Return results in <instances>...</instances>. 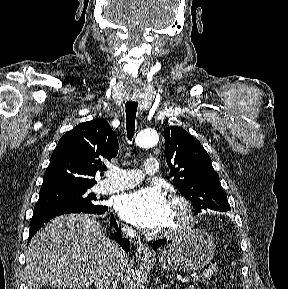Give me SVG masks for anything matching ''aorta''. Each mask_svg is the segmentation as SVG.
<instances>
[{
  "label": "aorta",
  "mask_w": 288,
  "mask_h": 289,
  "mask_svg": "<svg viewBox=\"0 0 288 289\" xmlns=\"http://www.w3.org/2000/svg\"><path fill=\"white\" fill-rule=\"evenodd\" d=\"M159 141L158 134L153 129H146L140 132L136 138V144L140 147L150 148L155 146Z\"/></svg>",
  "instance_id": "1"
}]
</instances>
